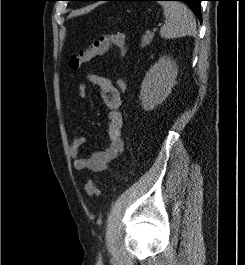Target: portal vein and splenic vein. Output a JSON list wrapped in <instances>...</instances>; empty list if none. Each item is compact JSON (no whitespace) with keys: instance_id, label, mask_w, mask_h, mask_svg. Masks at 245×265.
I'll return each mask as SVG.
<instances>
[{"instance_id":"obj_1","label":"portal vein and splenic vein","mask_w":245,"mask_h":265,"mask_svg":"<svg viewBox=\"0 0 245 265\" xmlns=\"http://www.w3.org/2000/svg\"><path fill=\"white\" fill-rule=\"evenodd\" d=\"M156 31H157V28H154V29H153V32H156Z\"/></svg>"}]
</instances>
